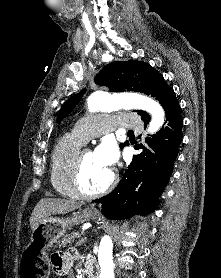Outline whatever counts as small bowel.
<instances>
[{
    "instance_id": "1",
    "label": "small bowel",
    "mask_w": 221,
    "mask_h": 278,
    "mask_svg": "<svg viewBox=\"0 0 221 278\" xmlns=\"http://www.w3.org/2000/svg\"><path fill=\"white\" fill-rule=\"evenodd\" d=\"M78 258V252L73 249L54 253L51 257V264L55 274L58 277L72 278L73 262Z\"/></svg>"
}]
</instances>
